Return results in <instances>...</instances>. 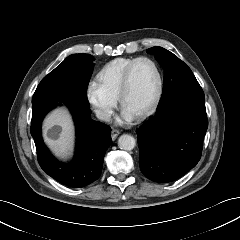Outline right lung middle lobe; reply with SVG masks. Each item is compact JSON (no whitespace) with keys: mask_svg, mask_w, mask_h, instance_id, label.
I'll use <instances>...</instances> for the list:
<instances>
[{"mask_svg":"<svg viewBox=\"0 0 240 240\" xmlns=\"http://www.w3.org/2000/svg\"><path fill=\"white\" fill-rule=\"evenodd\" d=\"M94 58L89 54H73L46 75L38 85L32 104L56 100L89 106L86 90L93 72Z\"/></svg>","mask_w":240,"mask_h":240,"instance_id":"obj_1","label":"right lung middle lobe"}]
</instances>
